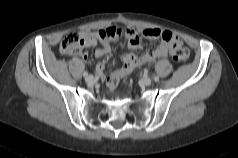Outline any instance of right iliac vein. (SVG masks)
Returning a JSON list of instances; mask_svg holds the SVG:
<instances>
[{
  "mask_svg": "<svg viewBox=\"0 0 238 158\" xmlns=\"http://www.w3.org/2000/svg\"><path fill=\"white\" fill-rule=\"evenodd\" d=\"M86 82L87 83H93L94 82V77L92 75H88L86 78H85Z\"/></svg>",
  "mask_w": 238,
  "mask_h": 158,
  "instance_id": "right-iliac-vein-1",
  "label": "right iliac vein"
}]
</instances>
